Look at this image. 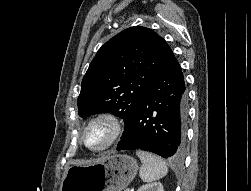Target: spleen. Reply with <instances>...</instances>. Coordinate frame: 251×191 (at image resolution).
<instances>
[{
	"label": "spleen",
	"mask_w": 251,
	"mask_h": 191,
	"mask_svg": "<svg viewBox=\"0 0 251 191\" xmlns=\"http://www.w3.org/2000/svg\"><path fill=\"white\" fill-rule=\"evenodd\" d=\"M136 155L141 159L139 175L143 181H155L168 173V167L158 155H153L149 151H136Z\"/></svg>",
	"instance_id": "spleen-1"
}]
</instances>
